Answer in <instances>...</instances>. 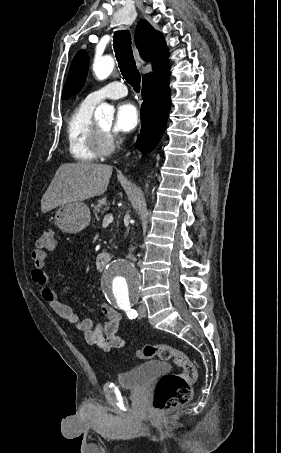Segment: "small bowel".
I'll return each instance as SVG.
<instances>
[{
  "label": "small bowel",
  "instance_id": "c3829d8e",
  "mask_svg": "<svg viewBox=\"0 0 281 453\" xmlns=\"http://www.w3.org/2000/svg\"><path fill=\"white\" fill-rule=\"evenodd\" d=\"M31 259L33 266L30 277L37 285L42 299L55 313L72 323L80 332H82L88 344L105 350H122L126 347L125 339L117 335V329L121 322V315L118 311L109 304H104L102 306V311L107 317L105 321L94 323L90 320L80 319L72 308L63 304L57 294L47 286L49 277L46 272V253L41 250L33 251Z\"/></svg>",
  "mask_w": 281,
  "mask_h": 453
}]
</instances>
